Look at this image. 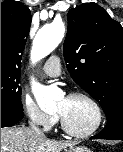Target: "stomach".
Masks as SVG:
<instances>
[{
  "mask_svg": "<svg viewBox=\"0 0 123 152\" xmlns=\"http://www.w3.org/2000/svg\"><path fill=\"white\" fill-rule=\"evenodd\" d=\"M65 152H91L90 149L84 146H78V147H71Z\"/></svg>",
  "mask_w": 123,
  "mask_h": 152,
  "instance_id": "obj_1",
  "label": "stomach"
}]
</instances>
